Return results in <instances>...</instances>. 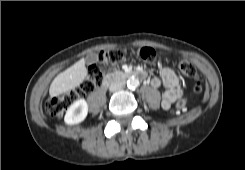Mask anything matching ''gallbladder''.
Returning a JSON list of instances; mask_svg holds the SVG:
<instances>
[{"label":"gallbladder","mask_w":245,"mask_h":170,"mask_svg":"<svg viewBox=\"0 0 245 170\" xmlns=\"http://www.w3.org/2000/svg\"><path fill=\"white\" fill-rule=\"evenodd\" d=\"M97 61H98V55L95 53H91L86 56L87 64H93V63H96Z\"/></svg>","instance_id":"obj_1"}]
</instances>
